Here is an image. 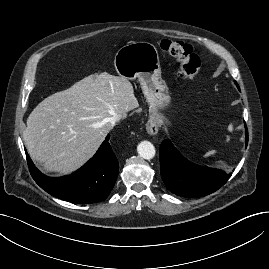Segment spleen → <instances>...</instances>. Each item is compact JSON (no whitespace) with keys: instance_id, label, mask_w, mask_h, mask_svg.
I'll return each instance as SVG.
<instances>
[{"instance_id":"3e777b00","label":"spleen","mask_w":269,"mask_h":269,"mask_svg":"<svg viewBox=\"0 0 269 269\" xmlns=\"http://www.w3.org/2000/svg\"><path fill=\"white\" fill-rule=\"evenodd\" d=\"M228 130H229L230 132L233 131V125H232V124H230V125L228 126ZM226 141H227V142L230 141V136H227V137H226ZM215 153H216V150H211V151L207 152V153L204 155V157L212 156V155H214Z\"/></svg>"}]
</instances>
